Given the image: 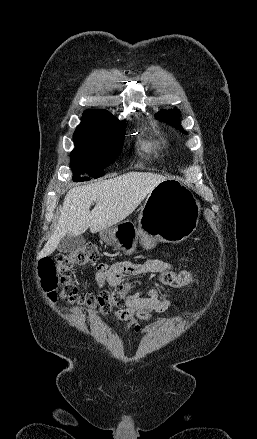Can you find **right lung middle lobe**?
Listing matches in <instances>:
<instances>
[{"mask_svg": "<svg viewBox=\"0 0 257 439\" xmlns=\"http://www.w3.org/2000/svg\"><path fill=\"white\" fill-rule=\"evenodd\" d=\"M125 122H108L99 119H82L73 140L75 149L71 153V166L74 181H87L90 178L78 177V173H88L98 178L102 171L120 154L124 143Z\"/></svg>", "mask_w": 257, "mask_h": 439, "instance_id": "dd1d6c3e", "label": "right lung middle lobe"}]
</instances>
